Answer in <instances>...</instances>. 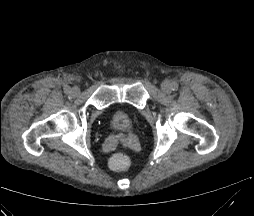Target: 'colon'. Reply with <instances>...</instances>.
Wrapping results in <instances>:
<instances>
[{
    "mask_svg": "<svg viewBox=\"0 0 254 216\" xmlns=\"http://www.w3.org/2000/svg\"><path fill=\"white\" fill-rule=\"evenodd\" d=\"M130 165V159L123 153L114 154L108 160V166L113 171H124Z\"/></svg>",
    "mask_w": 254,
    "mask_h": 216,
    "instance_id": "colon-1",
    "label": "colon"
}]
</instances>
